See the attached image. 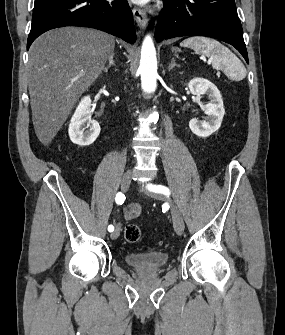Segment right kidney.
Here are the masks:
<instances>
[{
  "label": "right kidney",
  "instance_id": "ca27d5eb",
  "mask_svg": "<svg viewBox=\"0 0 285 335\" xmlns=\"http://www.w3.org/2000/svg\"><path fill=\"white\" fill-rule=\"evenodd\" d=\"M91 106L90 96L82 98L69 124V138L81 148L93 144L101 130L98 122L91 118ZM86 128H90L89 132H85Z\"/></svg>",
  "mask_w": 285,
  "mask_h": 335
}]
</instances>
